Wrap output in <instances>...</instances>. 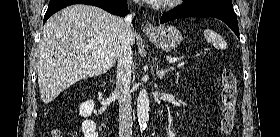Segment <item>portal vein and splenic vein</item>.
Masks as SVG:
<instances>
[{"instance_id":"18ae733b","label":"portal vein and splenic vein","mask_w":280,"mask_h":137,"mask_svg":"<svg viewBox=\"0 0 280 137\" xmlns=\"http://www.w3.org/2000/svg\"><path fill=\"white\" fill-rule=\"evenodd\" d=\"M177 60H178V58H173V59H170L169 62L172 63V62H175V61H177Z\"/></svg>"}]
</instances>
